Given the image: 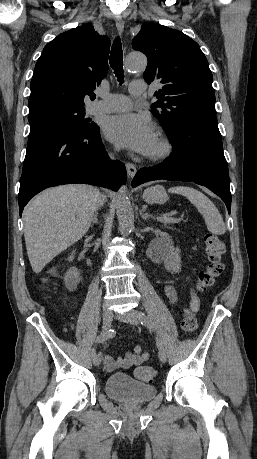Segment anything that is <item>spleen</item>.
<instances>
[{
    "instance_id": "3e777b00",
    "label": "spleen",
    "mask_w": 257,
    "mask_h": 459,
    "mask_svg": "<svg viewBox=\"0 0 257 459\" xmlns=\"http://www.w3.org/2000/svg\"><path fill=\"white\" fill-rule=\"evenodd\" d=\"M170 192L185 196L203 216L207 229L214 235L226 232L223 218L214 203L202 192L187 186H176Z\"/></svg>"
}]
</instances>
